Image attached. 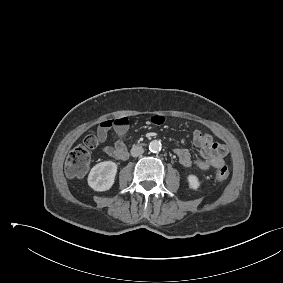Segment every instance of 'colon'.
I'll return each mask as SVG.
<instances>
[{
  "label": "colon",
  "instance_id": "5ec220e1",
  "mask_svg": "<svg viewBox=\"0 0 283 283\" xmlns=\"http://www.w3.org/2000/svg\"><path fill=\"white\" fill-rule=\"evenodd\" d=\"M98 145L97 136L90 134L83 142L74 147L66 158V172L71 177L83 176L89 169L91 151ZM216 179L225 181L229 177V170L226 166L220 167L215 173Z\"/></svg>",
  "mask_w": 283,
  "mask_h": 283
}]
</instances>
